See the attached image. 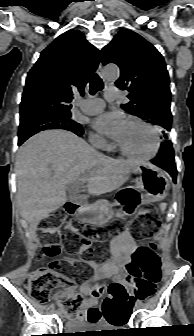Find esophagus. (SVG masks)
<instances>
[{"label":"esophagus","instance_id":"esophagus-1","mask_svg":"<svg viewBox=\"0 0 194 336\" xmlns=\"http://www.w3.org/2000/svg\"><path fill=\"white\" fill-rule=\"evenodd\" d=\"M97 73L99 74V76L103 77V75H102V63L101 62L99 63Z\"/></svg>","mask_w":194,"mask_h":336}]
</instances>
